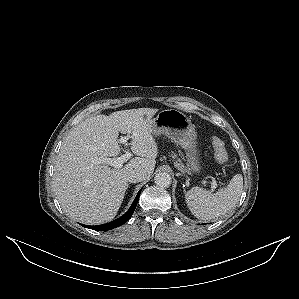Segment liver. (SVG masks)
<instances>
[{
  "label": "liver",
  "instance_id": "1",
  "mask_svg": "<svg viewBox=\"0 0 299 299\" xmlns=\"http://www.w3.org/2000/svg\"><path fill=\"white\" fill-rule=\"evenodd\" d=\"M153 108L89 117L64 138L54 168L53 189L64 212L85 224L111 221L128 188L127 175L142 169L150 177L156 165L157 144L152 134ZM119 132L131 134L137 155L121 168L97 164L98 158L120 155Z\"/></svg>",
  "mask_w": 299,
  "mask_h": 299
}]
</instances>
